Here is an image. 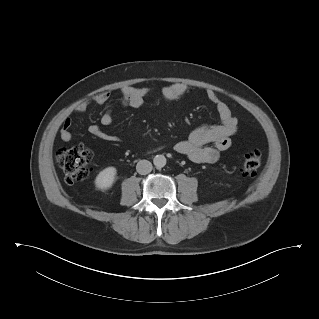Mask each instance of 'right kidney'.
Returning <instances> with one entry per match:
<instances>
[{"label":"right kidney","instance_id":"1","mask_svg":"<svg viewBox=\"0 0 319 319\" xmlns=\"http://www.w3.org/2000/svg\"><path fill=\"white\" fill-rule=\"evenodd\" d=\"M116 173L115 167H107L102 170L95 179L96 187L102 190L110 188L115 181Z\"/></svg>","mask_w":319,"mask_h":319}]
</instances>
